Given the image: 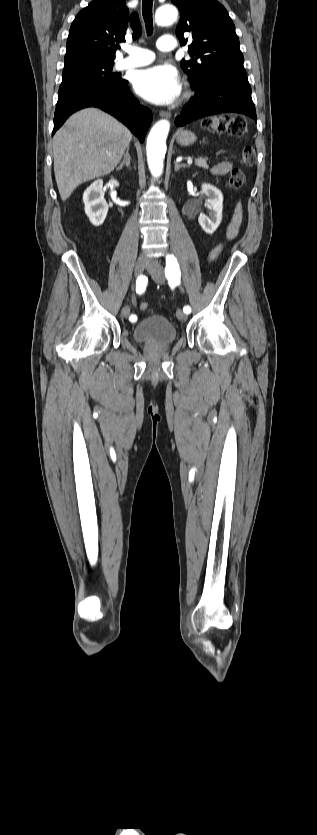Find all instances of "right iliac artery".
<instances>
[{
  "label": "right iliac artery",
  "mask_w": 317,
  "mask_h": 835,
  "mask_svg": "<svg viewBox=\"0 0 317 835\" xmlns=\"http://www.w3.org/2000/svg\"><path fill=\"white\" fill-rule=\"evenodd\" d=\"M146 285H147V278L145 276H142V275L138 276V278L136 280V293L139 294V295L143 294L144 291L146 290ZM129 319L131 321H134L136 319V317L134 315H131L129 317Z\"/></svg>",
  "instance_id": "obj_1"
}]
</instances>
